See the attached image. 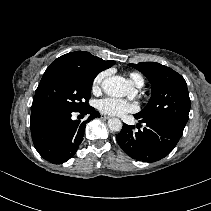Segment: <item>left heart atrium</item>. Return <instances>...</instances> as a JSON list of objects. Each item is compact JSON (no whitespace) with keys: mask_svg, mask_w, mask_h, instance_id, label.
Listing matches in <instances>:
<instances>
[{"mask_svg":"<svg viewBox=\"0 0 211 211\" xmlns=\"http://www.w3.org/2000/svg\"><path fill=\"white\" fill-rule=\"evenodd\" d=\"M97 108L108 115L120 116L136 110V105L124 99L108 97L98 101Z\"/></svg>","mask_w":211,"mask_h":211,"instance_id":"1","label":"left heart atrium"}]
</instances>
